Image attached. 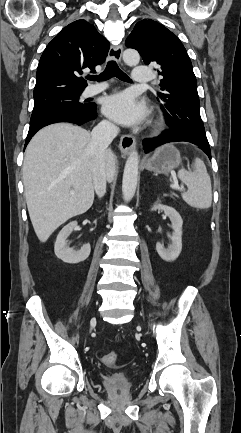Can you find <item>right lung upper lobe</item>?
<instances>
[{"label": "right lung upper lobe", "mask_w": 241, "mask_h": 433, "mask_svg": "<svg viewBox=\"0 0 241 433\" xmlns=\"http://www.w3.org/2000/svg\"><path fill=\"white\" fill-rule=\"evenodd\" d=\"M109 42L85 20L72 22L48 44L36 73L34 97L57 91H83L84 69L105 61Z\"/></svg>", "instance_id": "1"}]
</instances>
